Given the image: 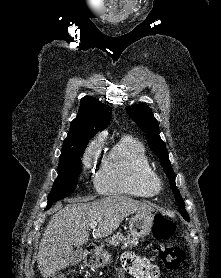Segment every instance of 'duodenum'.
<instances>
[{
    "mask_svg": "<svg viewBox=\"0 0 221 278\" xmlns=\"http://www.w3.org/2000/svg\"><path fill=\"white\" fill-rule=\"evenodd\" d=\"M97 252V247L94 244H89L86 247V254L88 259H93L94 254Z\"/></svg>",
    "mask_w": 221,
    "mask_h": 278,
    "instance_id": "obj_1",
    "label": "duodenum"
}]
</instances>
